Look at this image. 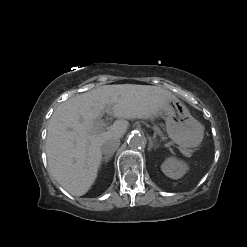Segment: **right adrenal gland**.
<instances>
[{"instance_id":"1","label":"right adrenal gland","mask_w":247,"mask_h":247,"mask_svg":"<svg viewBox=\"0 0 247 247\" xmlns=\"http://www.w3.org/2000/svg\"><path fill=\"white\" fill-rule=\"evenodd\" d=\"M113 155L105 156L102 158V162L108 163Z\"/></svg>"}]
</instances>
